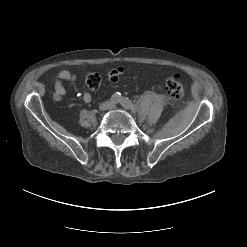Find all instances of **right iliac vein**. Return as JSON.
Wrapping results in <instances>:
<instances>
[{"instance_id": "right-iliac-vein-1", "label": "right iliac vein", "mask_w": 247, "mask_h": 247, "mask_svg": "<svg viewBox=\"0 0 247 247\" xmlns=\"http://www.w3.org/2000/svg\"><path fill=\"white\" fill-rule=\"evenodd\" d=\"M110 105H111L110 102H107V101L103 102V103L100 104L99 109L101 111H105L110 107Z\"/></svg>"}]
</instances>
